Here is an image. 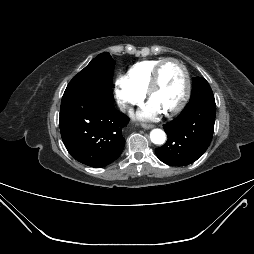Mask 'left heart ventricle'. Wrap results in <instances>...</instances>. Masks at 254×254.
<instances>
[{
    "label": "left heart ventricle",
    "mask_w": 254,
    "mask_h": 254,
    "mask_svg": "<svg viewBox=\"0 0 254 254\" xmlns=\"http://www.w3.org/2000/svg\"><path fill=\"white\" fill-rule=\"evenodd\" d=\"M184 90V76L181 68L174 62L167 63L160 75V82L150 101L163 112L175 107Z\"/></svg>",
    "instance_id": "1"
}]
</instances>
